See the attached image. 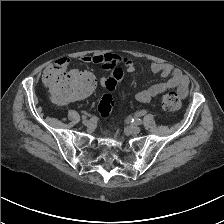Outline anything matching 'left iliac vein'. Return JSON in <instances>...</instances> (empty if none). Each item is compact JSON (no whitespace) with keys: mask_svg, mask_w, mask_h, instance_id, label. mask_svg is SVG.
<instances>
[{"mask_svg":"<svg viewBox=\"0 0 224 224\" xmlns=\"http://www.w3.org/2000/svg\"><path fill=\"white\" fill-rule=\"evenodd\" d=\"M127 132L129 134H138L140 132V128L137 125H130L127 127Z\"/></svg>","mask_w":224,"mask_h":224,"instance_id":"1","label":"left iliac vein"}]
</instances>
